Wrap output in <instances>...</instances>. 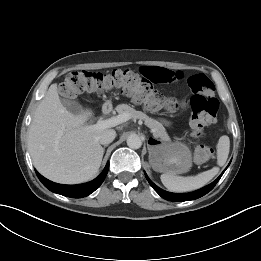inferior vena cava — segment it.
Returning a JSON list of instances; mask_svg holds the SVG:
<instances>
[{"label": "inferior vena cava", "mask_w": 261, "mask_h": 261, "mask_svg": "<svg viewBox=\"0 0 261 261\" xmlns=\"http://www.w3.org/2000/svg\"><path fill=\"white\" fill-rule=\"evenodd\" d=\"M116 137V132L113 129H106L100 136L99 142L102 145L110 144Z\"/></svg>", "instance_id": "inferior-vena-cava-1"}]
</instances>
